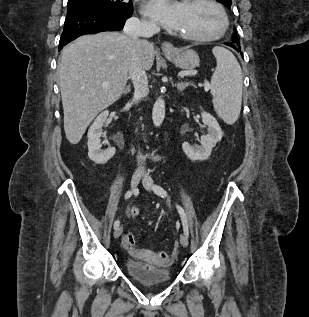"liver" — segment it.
<instances>
[{
  "label": "liver",
  "mask_w": 309,
  "mask_h": 317,
  "mask_svg": "<svg viewBox=\"0 0 309 317\" xmlns=\"http://www.w3.org/2000/svg\"><path fill=\"white\" fill-rule=\"evenodd\" d=\"M133 49L129 37L119 32L84 35L63 49L58 74L64 130L71 144H77L97 114L123 94ZM139 52L144 69L150 70L153 44L142 40Z\"/></svg>",
  "instance_id": "6515ba94"
}]
</instances>
